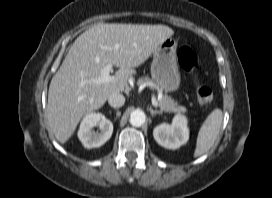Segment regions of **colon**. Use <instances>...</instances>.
Returning a JSON list of instances; mask_svg holds the SVG:
<instances>
[{
  "label": "colon",
  "mask_w": 272,
  "mask_h": 198,
  "mask_svg": "<svg viewBox=\"0 0 272 198\" xmlns=\"http://www.w3.org/2000/svg\"><path fill=\"white\" fill-rule=\"evenodd\" d=\"M178 62L181 68L189 73H192L198 68V56L197 54L188 46H181L178 50ZM197 100L201 104H209L214 99V91L209 86H201L196 92Z\"/></svg>",
  "instance_id": "1"
}]
</instances>
